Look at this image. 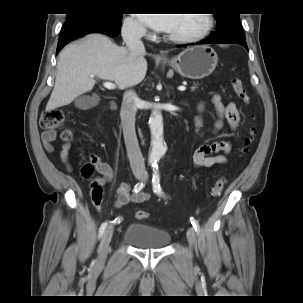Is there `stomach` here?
I'll use <instances>...</instances> for the list:
<instances>
[{
	"label": "stomach",
	"instance_id": "1",
	"mask_svg": "<svg viewBox=\"0 0 303 303\" xmlns=\"http://www.w3.org/2000/svg\"><path fill=\"white\" fill-rule=\"evenodd\" d=\"M218 62L217 53L207 45L185 49L168 64L181 76L190 79H202L210 75Z\"/></svg>",
	"mask_w": 303,
	"mask_h": 303
}]
</instances>
